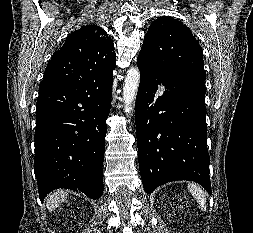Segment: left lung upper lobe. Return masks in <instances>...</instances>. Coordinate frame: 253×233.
I'll use <instances>...</instances> for the list:
<instances>
[{
	"label": "left lung upper lobe",
	"mask_w": 253,
	"mask_h": 233,
	"mask_svg": "<svg viewBox=\"0 0 253 233\" xmlns=\"http://www.w3.org/2000/svg\"><path fill=\"white\" fill-rule=\"evenodd\" d=\"M163 77L180 82L195 76L205 80L203 54L189 28L171 17H159L150 25L140 51Z\"/></svg>",
	"instance_id": "obj_1"
}]
</instances>
